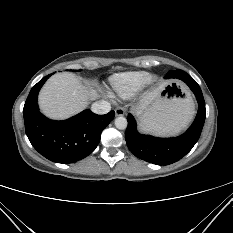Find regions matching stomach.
<instances>
[{"instance_id": "0dacf381", "label": "stomach", "mask_w": 233, "mask_h": 233, "mask_svg": "<svg viewBox=\"0 0 233 233\" xmlns=\"http://www.w3.org/2000/svg\"><path fill=\"white\" fill-rule=\"evenodd\" d=\"M194 114V103L178 84L169 82L151 105L139 114L141 129L156 135H172L183 130Z\"/></svg>"}]
</instances>
